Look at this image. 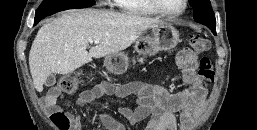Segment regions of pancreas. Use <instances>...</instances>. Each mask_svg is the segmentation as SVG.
Segmentation results:
<instances>
[{"instance_id":"cf45deb5","label":"pancreas","mask_w":257,"mask_h":130,"mask_svg":"<svg viewBox=\"0 0 257 130\" xmlns=\"http://www.w3.org/2000/svg\"><path fill=\"white\" fill-rule=\"evenodd\" d=\"M138 61H139L140 63H143V62L145 61V59H144V58H140V59H138ZM133 63H135V60H133Z\"/></svg>"}]
</instances>
